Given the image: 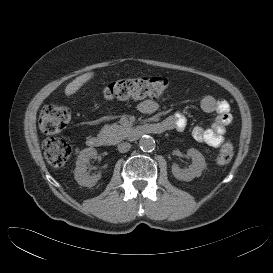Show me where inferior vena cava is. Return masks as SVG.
<instances>
[{"label":"inferior vena cava","mask_w":273,"mask_h":273,"mask_svg":"<svg viewBox=\"0 0 273 273\" xmlns=\"http://www.w3.org/2000/svg\"><path fill=\"white\" fill-rule=\"evenodd\" d=\"M130 148H131V144L128 142H123L118 145V151L121 153H125L129 151Z\"/></svg>","instance_id":"inferior-vena-cava-1"}]
</instances>
